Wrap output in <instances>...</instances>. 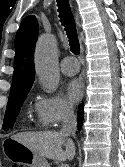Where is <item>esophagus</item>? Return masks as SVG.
Masks as SVG:
<instances>
[{"label": "esophagus", "instance_id": "esophagus-1", "mask_svg": "<svg viewBox=\"0 0 125 167\" xmlns=\"http://www.w3.org/2000/svg\"><path fill=\"white\" fill-rule=\"evenodd\" d=\"M75 19H76V24L78 28H80V19H79L78 13H75Z\"/></svg>", "mask_w": 125, "mask_h": 167}]
</instances>
